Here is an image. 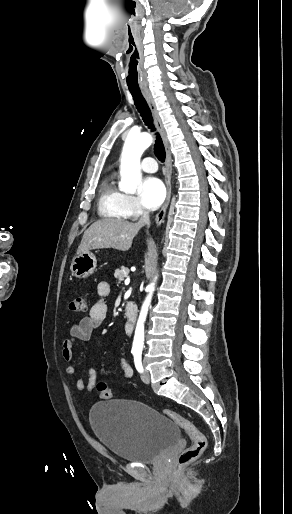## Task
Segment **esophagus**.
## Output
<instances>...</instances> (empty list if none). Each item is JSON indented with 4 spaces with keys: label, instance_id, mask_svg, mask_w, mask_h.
I'll list each match as a JSON object with an SVG mask.
<instances>
[{
    "label": "esophagus",
    "instance_id": "1",
    "mask_svg": "<svg viewBox=\"0 0 292 514\" xmlns=\"http://www.w3.org/2000/svg\"><path fill=\"white\" fill-rule=\"evenodd\" d=\"M141 92L151 110L154 122L160 131V134L163 139L164 146H165V150H166L165 183H166V188H167V197H166V200H165L163 206L161 207V210L158 212V214L156 215V218H155V224H156V226H159L160 224H162V222L164 220L166 210H167V207L170 202V196H171V174H172L171 151H170V144H169V141L167 138V134L165 132L161 118L157 111V107L155 105V102L151 95V92L149 90H144V89H141Z\"/></svg>",
    "mask_w": 292,
    "mask_h": 514
}]
</instances>
